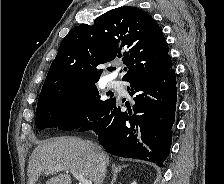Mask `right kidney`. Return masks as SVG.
I'll return each instance as SVG.
<instances>
[{"mask_svg": "<svg viewBox=\"0 0 224 184\" xmlns=\"http://www.w3.org/2000/svg\"><path fill=\"white\" fill-rule=\"evenodd\" d=\"M131 184H137V183L134 181V182H132Z\"/></svg>", "mask_w": 224, "mask_h": 184, "instance_id": "1", "label": "right kidney"}]
</instances>
